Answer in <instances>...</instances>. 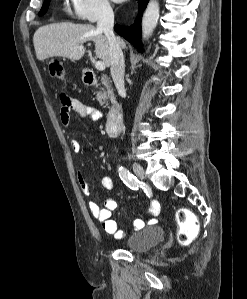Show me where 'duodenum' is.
Masks as SVG:
<instances>
[{"label": "duodenum", "mask_w": 247, "mask_h": 299, "mask_svg": "<svg viewBox=\"0 0 247 299\" xmlns=\"http://www.w3.org/2000/svg\"><path fill=\"white\" fill-rule=\"evenodd\" d=\"M84 80L89 85L93 84L95 80V74L91 69H84ZM122 117V107L118 103H113L108 112L105 125L106 131L110 136H114L119 132L122 124Z\"/></svg>", "instance_id": "410a0bca"}]
</instances>
